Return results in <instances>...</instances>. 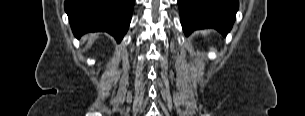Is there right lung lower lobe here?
<instances>
[{"instance_id": "1", "label": "right lung lower lobe", "mask_w": 305, "mask_h": 116, "mask_svg": "<svg viewBox=\"0 0 305 116\" xmlns=\"http://www.w3.org/2000/svg\"><path fill=\"white\" fill-rule=\"evenodd\" d=\"M135 0H65L76 38L87 32H108L121 42L131 21Z\"/></svg>"}]
</instances>
